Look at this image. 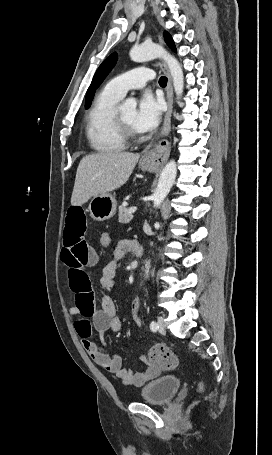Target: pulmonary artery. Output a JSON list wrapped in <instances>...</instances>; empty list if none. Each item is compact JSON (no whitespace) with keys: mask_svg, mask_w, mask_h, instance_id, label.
I'll use <instances>...</instances> for the list:
<instances>
[{"mask_svg":"<svg viewBox=\"0 0 272 455\" xmlns=\"http://www.w3.org/2000/svg\"><path fill=\"white\" fill-rule=\"evenodd\" d=\"M153 78L154 73L151 69L137 67L113 78L107 84V88L122 98L128 90L140 89Z\"/></svg>","mask_w":272,"mask_h":455,"instance_id":"e3ab8cb5","label":"pulmonary artery"}]
</instances>
